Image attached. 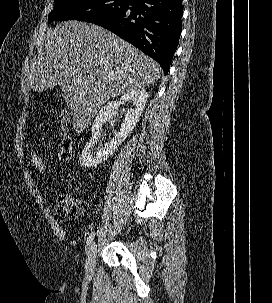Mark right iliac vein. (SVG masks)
Masks as SVG:
<instances>
[{"label": "right iliac vein", "mask_w": 272, "mask_h": 303, "mask_svg": "<svg viewBox=\"0 0 272 303\" xmlns=\"http://www.w3.org/2000/svg\"><path fill=\"white\" fill-rule=\"evenodd\" d=\"M97 255V244L92 242L87 249L86 263H85V273L87 277H92L95 272V263Z\"/></svg>", "instance_id": "1"}]
</instances>
